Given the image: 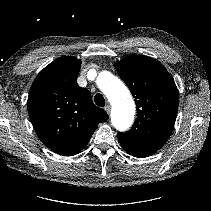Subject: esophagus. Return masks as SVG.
<instances>
[{
	"mask_svg": "<svg viewBox=\"0 0 211 211\" xmlns=\"http://www.w3.org/2000/svg\"><path fill=\"white\" fill-rule=\"evenodd\" d=\"M104 110L109 114L110 113V106L109 105L105 106Z\"/></svg>",
	"mask_w": 211,
	"mask_h": 211,
	"instance_id": "obj_1",
	"label": "esophagus"
}]
</instances>
